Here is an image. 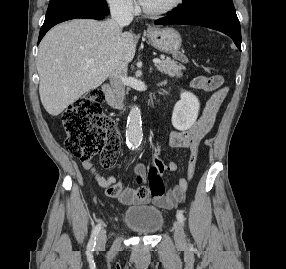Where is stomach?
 Wrapping results in <instances>:
<instances>
[{"label": "stomach", "instance_id": "stomach-1", "mask_svg": "<svg viewBox=\"0 0 286 269\" xmlns=\"http://www.w3.org/2000/svg\"><path fill=\"white\" fill-rule=\"evenodd\" d=\"M149 43L156 49L175 55L174 50L181 46L180 34L171 27L151 28L147 31Z\"/></svg>", "mask_w": 286, "mask_h": 269}]
</instances>
